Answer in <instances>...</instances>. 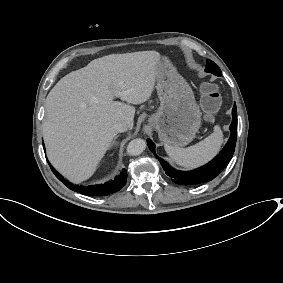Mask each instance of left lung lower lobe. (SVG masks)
<instances>
[{"mask_svg": "<svg viewBox=\"0 0 283 283\" xmlns=\"http://www.w3.org/2000/svg\"><path fill=\"white\" fill-rule=\"evenodd\" d=\"M233 120L230 125L231 136L228 143L223 148V150L208 164L197 168L192 171H179L172 168L167 162L158 157L155 153L154 143L148 139L147 143L153 154L159 159L165 173L172 179L174 183L180 185H196L201 183H206L214 179L229 163L231 160L237 137V111L236 104H234L232 110Z\"/></svg>", "mask_w": 283, "mask_h": 283, "instance_id": "0a47b994", "label": "left lung lower lobe"}]
</instances>
